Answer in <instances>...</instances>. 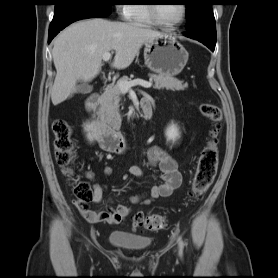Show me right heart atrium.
Masks as SVG:
<instances>
[{"mask_svg":"<svg viewBox=\"0 0 278 278\" xmlns=\"http://www.w3.org/2000/svg\"><path fill=\"white\" fill-rule=\"evenodd\" d=\"M116 11L121 19L128 20L131 13V5L128 4L117 5Z\"/></svg>","mask_w":278,"mask_h":278,"instance_id":"d8ad5b80","label":"right heart atrium"}]
</instances>
